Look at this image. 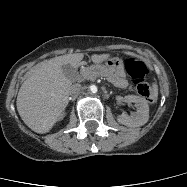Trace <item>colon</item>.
<instances>
[{
    "mask_svg": "<svg viewBox=\"0 0 187 187\" xmlns=\"http://www.w3.org/2000/svg\"><path fill=\"white\" fill-rule=\"evenodd\" d=\"M125 68L132 78L137 93L148 102H154L156 93L153 86L146 80L148 69L144 61L140 58L130 57L125 62Z\"/></svg>",
    "mask_w": 187,
    "mask_h": 187,
    "instance_id": "colon-1",
    "label": "colon"
}]
</instances>
